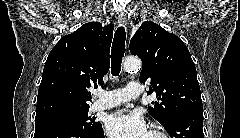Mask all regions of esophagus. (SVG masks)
Masks as SVG:
<instances>
[{
  "mask_svg": "<svg viewBox=\"0 0 240 138\" xmlns=\"http://www.w3.org/2000/svg\"><path fill=\"white\" fill-rule=\"evenodd\" d=\"M118 23L123 28H126V26H127V16H126V13L124 11H120L118 13Z\"/></svg>",
  "mask_w": 240,
  "mask_h": 138,
  "instance_id": "1",
  "label": "esophagus"
}]
</instances>
